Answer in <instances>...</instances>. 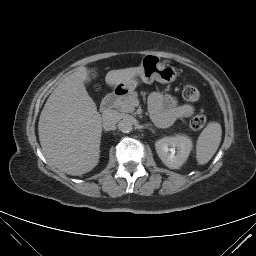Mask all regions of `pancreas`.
<instances>
[{"label": "pancreas", "instance_id": "1", "mask_svg": "<svg viewBox=\"0 0 256 256\" xmlns=\"http://www.w3.org/2000/svg\"><path fill=\"white\" fill-rule=\"evenodd\" d=\"M137 96L138 94L136 92H132L123 100L117 102L115 108L123 113H133L135 110V102L137 100Z\"/></svg>", "mask_w": 256, "mask_h": 256}]
</instances>
